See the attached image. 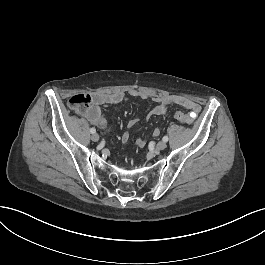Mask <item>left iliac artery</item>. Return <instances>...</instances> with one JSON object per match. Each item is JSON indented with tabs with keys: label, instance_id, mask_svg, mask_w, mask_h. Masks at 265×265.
Returning <instances> with one entry per match:
<instances>
[{
	"label": "left iliac artery",
	"instance_id": "1",
	"mask_svg": "<svg viewBox=\"0 0 265 265\" xmlns=\"http://www.w3.org/2000/svg\"><path fill=\"white\" fill-rule=\"evenodd\" d=\"M168 139H169L168 136H164V137H163V141H165V142H167Z\"/></svg>",
	"mask_w": 265,
	"mask_h": 265
}]
</instances>
